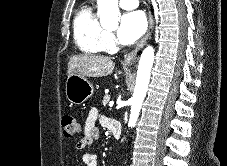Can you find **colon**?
I'll return each mask as SVG.
<instances>
[{"instance_id":"colon-1","label":"colon","mask_w":227,"mask_h":166,"mask_svg":"<svg viewBox=\"0 0 227 166\" xmlns=\"http://www.w3.org/2000/svg\"><path fill=\"white\" fill-rule=\"evenodd\" d=\"M62 127L64 137L67 139L74 138L79 133V125L74 116H64L62 118Z\"/></svg>"}]
</instances>
